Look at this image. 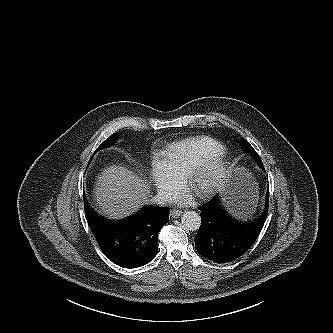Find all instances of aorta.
Listing matches in <instances>:
<instances>
[{
  "label": "aorta",
  "mask_w": 333,
  "mask_h": 333,
  "mask_svg": "<svg viewBox=\"0 0 333 333\" xmlns=\"http://www.w3.org/2000/svg\"><path fill=\"white\" fill-rule=\"evenodd\" d=\"M181 223L184 229L188 231H196L201 224V217L196 211H186L181 217Z\"/></svg>",
  "instance_id": "obj_1"
}]
</instances>
